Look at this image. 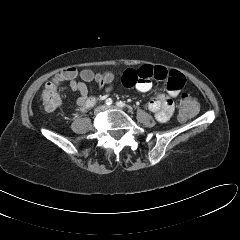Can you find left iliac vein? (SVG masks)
Listing matches in <instances>:
<instances>
[{
  "label": "left iliac vein",
  "instance_id": "1",
  "mask_svg": "<svg viewBox=\"0 0 240 240\" xmlns=\"http://www.w3.org/2000/svg\"><path fill=\"white\" fill-rule=\"evenodd\" d=\"M117 107L114 106V105H111V106H104V109L105 110H109V109H116Z\"/></svg>",
  "mask_w": 240,
  "mask_h": 240
}]
</instances>
